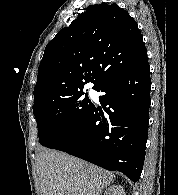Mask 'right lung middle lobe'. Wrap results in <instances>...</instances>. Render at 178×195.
<instances>
[{
  "instance_id": "1",
  "label": "right lung middle lobe",
  "mask_w": 178,
  "mask_h": 195,
  "mask_svg": "<svg viewBox=\"0 0 178 195\" xmlns=\"http://www.w3.org/2000/svg\"><path fill=\"white\" fill-rule=\"evenodd\" d=\"M83 90L49 99L33 108L38 127L39 142L45 147H56L72 132L76 123L93 104Z\"/></svg>"
}]
</instances>
